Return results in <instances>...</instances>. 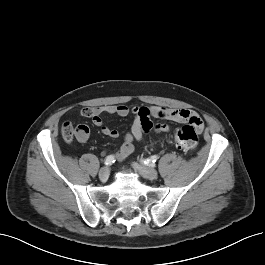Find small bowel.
<instances>
[{
    "instance_id": "1",
    "label": "small bowel",
    "mask_w": 265,
    "mask_h": 265,
    "mask_svg": "<svg viewBox=\"0 0 265 265\" xmlns=\"http://www.w3.org/2000/svg\"><path fill=\"white\" fill-rule=\"evenodd\" d=\"M104 114L121 117L128 115L134 116V122L131 129L125 133L123 144L114 153V157L118 160H123L131 155L134 152V141H141L146 134L151 132L153 129L152 118H163L176 122H189L192 123L198 131L204 129V123L199 115L195 111L187 108H159L155 106L149 108H129L126 105H107L85 107L81 110V115L91 118L96 126L101 127V131L104 135L117 138L119 133L116 129L103 125L102 116ZM154 130L158 133H164L169 131V127L166 124H158L154 127ZM75 135L79 142H86L90 135L89 127L85 124L77 125Z\"/></svg>"
}]
</instances>
